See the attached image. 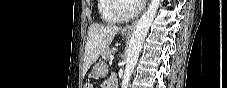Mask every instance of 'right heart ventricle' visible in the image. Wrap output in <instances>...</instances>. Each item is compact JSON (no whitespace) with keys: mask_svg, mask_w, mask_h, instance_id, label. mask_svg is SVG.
Returning <instances> with one entry per match:
<instances>
[{"mask_svg":"<svg viewBox=\"0 0 227 88\" xmlns=\"http://www.w3.org/2000/svg\"><path fill=\"white\" fill-rule=\"evenodd\" d=\"M110 2L111 0H97L98 12H99L100 18L103 21L108 23H116L118 22V19L115 18L110 12V9H109Z\"/></svg>","mask_w":227,"mask_h":88,"instance_id":"e07e8e85","label":"right heart ventricle"}]
</instances>
